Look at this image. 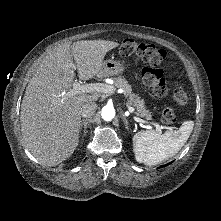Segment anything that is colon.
Masks as SVG:
<instances>
[{"mask_svg": "<svg viewBox=\"0 0 221 221\" xmlns=\"http://www.w3.org/2000/svg\"><path fill=\"white\" fill-rule=\"evenodd\" d=\"M119 51L123 56L135 55L145 62L147 66L142 70L144 83L151 87L157 96L167 94L166 80L163 77V70L160 68L166 55L164 50L159 49L154 44L137 43L131 39H126L121 43ZM172 98L180 106L188 101V95L181 87L172 91ZM162 120L165 124H174L176 122L174 110L172 108L164 109Z\"/></svg>", "mask_w": 221, "mask_h": 221, "instance_id": "5ec220e1", "label": "colon"}]
</instances>
